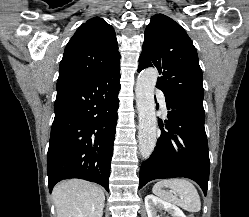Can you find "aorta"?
<instances>
[{
    "instance_id": "obj_1",
    "label": "aorta",
    "mask_w": 249,
    "mask_h": 217,
    "mask_svg": "<svg viewBox=\"0 0 249 217\" xmlns=\"http://www.w3.org/2000/svg\"><path fill=\"white\" fill-rule=\"evenodd\" d=\"M158 73L155 68L142 71L136 81V104L139 117V153L143 159L152 154L157 139L154 89Z\"/></svg>"
}]
</instances>
